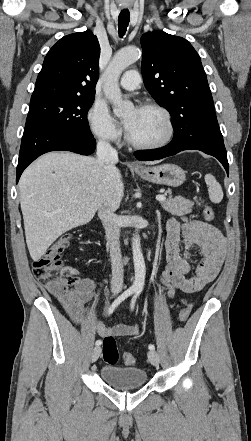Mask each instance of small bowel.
<instances>
[{"mask_svg": "<svg viewBox=\"0 0 251 441\" xmlns=\"http://www.w3.org/2000/svg\"><path fill=\"white\" fill-rule=\"evenodd\" d=\"M165 240L166 266L161 274V282L170 298L177 290L187 294L199 292L218 275L223 261L225 240L211 224L188 218H170L166 225ZM200 249L203 258L195 268V274L187 277L193 263V254ZM71 320L77 325L87 323L89 302L94 296L96 284L92 279L81 278L73 287L55 290L48 287ZM184 303V300H180ZM92 327L105 338L107 336H137L139 327L132 324L106 326L99 320L91 321Z\"/></svg>", "mask_w": 251, "mask_h": 441, "instance_id": "obj_1", "label": "small bowel"}]
</instances>
